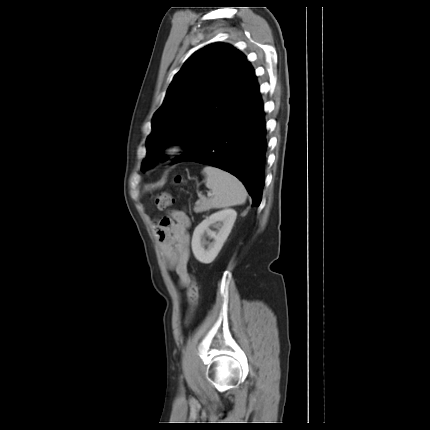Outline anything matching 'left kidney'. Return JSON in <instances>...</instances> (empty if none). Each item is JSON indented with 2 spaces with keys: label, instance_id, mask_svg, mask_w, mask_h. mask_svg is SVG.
<instances>
[{
  "label": "left kidney",
  "instance_id": "1",
  "mask_svg": "<svg viewBox=\"0 0 430 430\" xmlns=\"http://www.w3.org/2000/svg\"><path fill=\"white\" fill-rule=\"evenodd\" d=\"M236 216L234 209L220 210L211 214L195 228L191 245L193 254L199 262L209 264L214 261L232 230ZM212 225L218 230L217 232L209 229ZM205 232L213 242L209 243L205 240ZM205 245L208 246L207 249Z\"/></svg>",
  "mask_w": 430,
  "mask_h": 430
}]
</instances>
